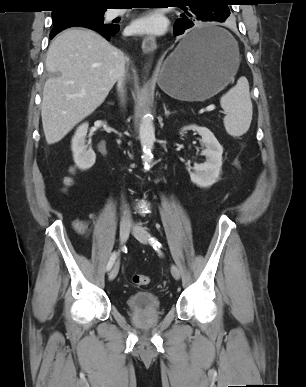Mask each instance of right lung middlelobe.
I'll use <instances>...</instances> for the list:
<instances>
[{
  "instance_id": "obj_1",
  "label": "right lung middle lobe",
  "mask_w": 306,
  "mask_h": 387,
  "mask_svg": "<svg viewBox=\"0 0 306 387\" xmlns=\"http://www.w3.org/2000/svg\"><path fill=\"white\" fill-rule=\"evenodd\" d=\"M106 9L92 6H78L61 8L52 12L54 27L52 34H57L60 31L74 26L81 27H97V26H112V24L104 23V12Z\"/></svg>"
}]
</instances>
